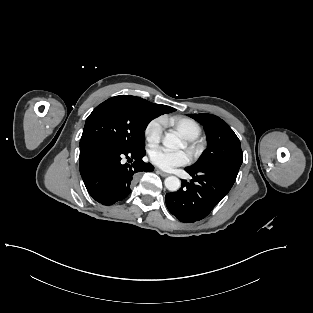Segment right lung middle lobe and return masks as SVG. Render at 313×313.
<instances>
[{
	"label": "right lung middle lobe",
	"mask_w": 313,
	"mask_h": 313,
	"mask_svg": "<svg viewBox=\"0 0 313 313\" xmlns=\"http://www.w3.org/2000/svg\"><path fill=\"white\" fill-rule=\"evenodd\" d=\"M158 116L145 99L129 95L112 97L98 105L86 119L80 146L102 140L127 149L144 148V131Z\"/></svg>",
	"instance_id": "dd1d6c3e"
}]
</instances>
